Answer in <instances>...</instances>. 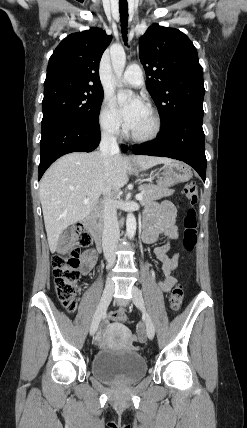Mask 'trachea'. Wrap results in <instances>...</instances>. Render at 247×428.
I'll list each match as a JSON object with an SVG mask.
<instances>
[{"mask_svg":"<svg viewBox=\"0 0 247 428\" xmlns=\"http://www.w3.org/2000/svg\"><path fill=\"white\" fill-rule=\"evenodd\" d=\"M119 12H120V21L122 26V32H123V39L125 44L127 45V25H128V4L125 3H119Z\"/></svg>","mask_w":247,"mask_h":428,"instance_id":"obj_1","label":"trachea"}]
</instances>
